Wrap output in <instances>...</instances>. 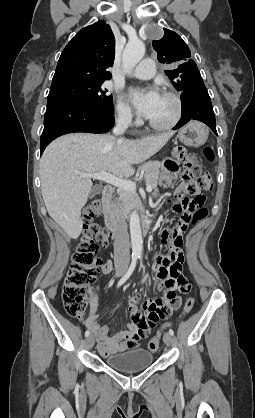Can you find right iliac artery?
<instances>
[{
    "label": "right iliac artery",
    "instance_id": "82829eb1",
    "mask_svg": "<svg viewBox=\"0 0 255 418\" xmlns=\"http://www.w3.org/2000/svg\"><path fill=\"white\" fill-rule=\"evenodd\" d=\"M136 261H137V257H132V261H131V264H130V266H129V268H128V270H127V272L124 274V276L119 280V282H118V284H117V287H120L121 285H123L127 280H128V278L131 276V274L133 273V271H134V269H135V267H136ZM89 334H90V331L89 330H87L86 332H85V336L86 337H88L89 336Z\"/></svg>",
    "mask_w": 255,
    "mask_h": 418
}]
</instances>
